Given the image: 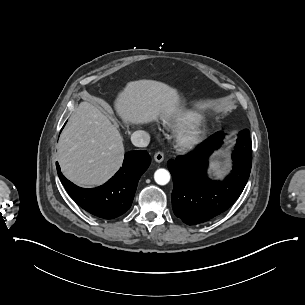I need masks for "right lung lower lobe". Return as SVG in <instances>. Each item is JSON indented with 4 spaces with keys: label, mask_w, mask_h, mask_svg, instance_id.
<instances>
[{
    "label": "right lung lower lobe",
    "mask_w": 305,
    "mask_h": 305,
    "mask_svg": "<svg viewBox=\"0 0 305 305\" xmlns=\"http://www.w3.org/2000/svg\"><path fill=\"white\" fill-rule=\"evenodd\" d=\"M151 163L145 150L130 151L125 154L122 168L104 185L84 189L70 182L60 174L61 183L74 201L87 212L104 219L116 218L131 206L138 181Z\"/></svg>",
    "instance_id": "right-lung-lower-lobe-1"
}]
</instances>
